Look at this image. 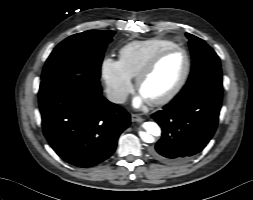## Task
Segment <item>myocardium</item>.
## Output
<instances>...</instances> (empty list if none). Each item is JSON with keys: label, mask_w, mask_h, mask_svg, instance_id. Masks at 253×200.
Wrapping results in <instances>:
<instances>
[{"label": "myocardium", "mask_w": 253, "mask_h": 200, "mask_svg": "<svg viewBox=\"0 0 253 200\" xmlns=\"http://www.w3.org/2000/svg\"><path fill=\"white\" fill-rule=\"evenodd\" d=\"M175 51L182 52L186 58L185 72H184L182 78L180 79V81L178 82V84L167 95H165L164 97L157 99V100L148 101L150 103V105H152V106H162V105L169 103L182 91V89L186 85V83L189 79L190 73H191V68H192V61H191V57H190L188 51L185 48L180 47L178 45L164 49V50L160 51L159 53H157L138 72V74L135 77V86H136V89L139 90V87H140L141 83L143 82V80L154 71V69L157 67V65L160 63V61L165 56H167L168 54L175 52Z\"/></svg>", "instance_id": "myocardium-1"}]
</instances>
